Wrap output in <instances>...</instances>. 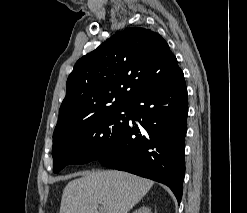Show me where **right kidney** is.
Instances as JSON below:
<instances>
[{"instance_id": "obj_1", "label": "right kidney", "mask_w": 247, "mask_h": 213, "mask_svg": "<svg viewBox=\"0 0 247 213\" xmlns=\"http://www.w3.org/2000/svg\"><path fill=\"white\" fill-rule=\"evenodd\" d=\"M132 213H152V212H151V209L149 207L141 206L140 208L136 209Z\"/></svg>"}]
</instances>
